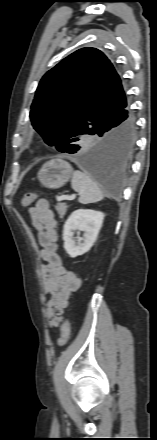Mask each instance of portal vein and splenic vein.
<instances>
[{
	"instance_id": "obj_1",
	"label": "portal vein and splenic vein",
	"mask_w": 157,
	"mask_h": 440,
	"mask_svg": "<svg viewBox=\"0 0 157 440\" xmlns=\"http://www.w3.org/2000/svg\"><path fill=\"white\" fill-rule=\"evenodd\" d=\"M76 195H72V196H68V195H62L60 197H58V200H71L73 198H75Z\"/></svg>"
}]
</instances>
